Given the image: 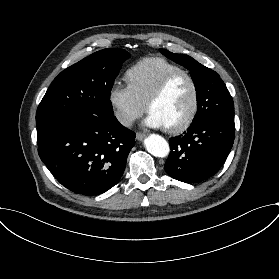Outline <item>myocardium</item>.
<instances>
[{
    "instance_id": "myocardium-1",
    "label": "myocardium",
    "mask_w": 279,
    "mask_h": 279,
    "mask_svg": "<svg viewBox=\"0 0 279 279\" xmlns=\"http://www.w3.org/2000/svg\"><path fill=\"white\" fill-rule=\"evenodd\" d=\"M181 77H186L190 81L194 91V98H193V104L190 113L184 119V121L178 125L166 127V130L169 133H173V134L180 133L188 129L198 114L199 106H200V90H199L198 83L193 77V75L190 72L185 70L177 71L169 74L162 80V82L151 93L150 97L147 100V110L149 112L152 104L157 100H159L167 92L170 86Z\"/></svg>"
}]
</instances>
